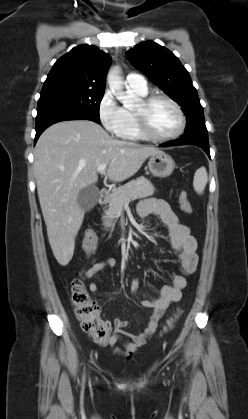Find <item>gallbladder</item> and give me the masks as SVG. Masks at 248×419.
Returning a JSON list of instances; mask_svg holds the SVG:
<instances>
[{
    "mask_svg": "<svg viewBox=\"0 0 248 419\" xmlns=\"http://www.w3.org/2000/svg\"><path fill=\"white\" fill-rule=\"evenodd\" d=\"M100 198L99 190L95 187H86L79 192L77 202L85 210H91Z\"/></svg>",
    "mask_w": 248,
    "mask_h": 419,
    "instance_id": "gallbladder-1",
    "label": "gallbladder"
}]
</instances>
